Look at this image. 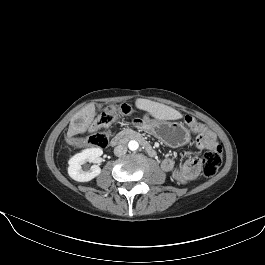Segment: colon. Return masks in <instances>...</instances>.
<instances>
[{
    "label": "colon",
    "mask_w": 265,
    "mask_h": 265,
    "mask_svg": "<svg viewBox=\"0 0 265 265\" xmlns=\"http://www.w3.org/2000/svg\"><path fill=\"white\" fill-rule=\"evenodd\" d=\"M135 110L128 104L111 106L106 108L91 124L89 137L86 140L88 146L104 148L109 141V133L103 129L109 127L118 117L130 116ZM186 123L197 132L204 130V125L196 121L192 116L186 117ZM223 162V152L220 146L207 148L202 158V172L206 177L214 176Z\"/></svg>",
    "instance_id": "1"
}]
</instances>
